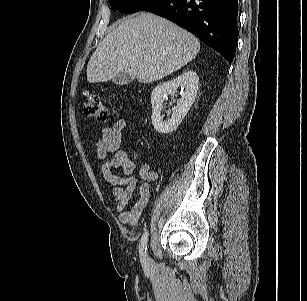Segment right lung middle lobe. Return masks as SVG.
<instances>
[{"label":"right lung middle lobe","instance_id":"right-lung-middle-lobe-1","mask_svg":"<svg viewBox=\"0 0 307 301\" xmlns=\"http://www.w3.org/2000/svg\"><path fill=\"white\" fill-rule=\"evenodd\" d=\"M113 11L119 10L124 13L141 11L145 6L155 0H108Z\"/></svg>","mask_w":307,"mask_h":301}]
</instances>
